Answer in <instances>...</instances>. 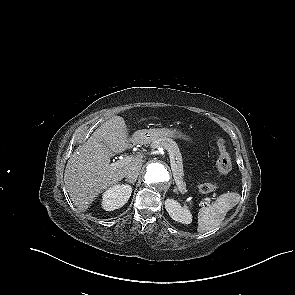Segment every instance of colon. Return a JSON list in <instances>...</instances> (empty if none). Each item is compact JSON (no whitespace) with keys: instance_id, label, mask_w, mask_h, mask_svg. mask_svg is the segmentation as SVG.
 Here are the masks:
<instances>
[{"instance_id":"colon-1","label":"colon","mask_w":295,"mask_h":295,"mask_svg":"<svg viewBox=\"0 0 295 295\" xmlns=\"http://www.w3.org/2000/svg\"><path fill=\"white\" fill-rule=\"evenodd\" d=\"M218 157L216 168L220 174H227L232 167L231 157L227 151L226 144L222 138L217 139ZM218 184L213 181L200 184V191L204 194L212 193L217 189Z\"/></svg>"}]
</instances>
